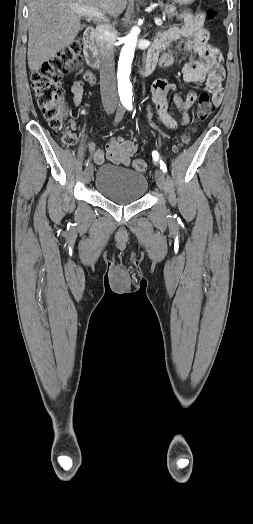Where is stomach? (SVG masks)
<instances>
[{"instance_id":"1","label":"stomach","mask_w":253,"mask_h":524,"mask_svg":"<svg viewBox=\"0 0 253 524\" xmlns=\"http://www.w3.org/2000/svg\"><path fill=\"white\" fill-rule=\"evenodd\" d=\"M176 3H179V4H191L194 2V0H174Z\"/></svg>"}]
</instances>
